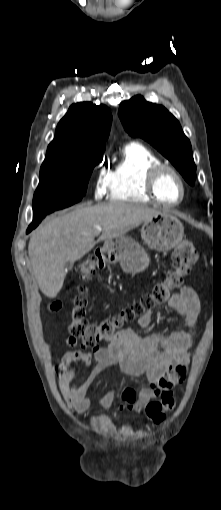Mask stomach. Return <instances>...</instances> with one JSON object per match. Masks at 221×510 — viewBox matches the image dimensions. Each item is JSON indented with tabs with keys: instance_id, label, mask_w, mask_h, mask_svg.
<instances>
[{
	"instance_id": "obj_1",
	"label": "stomach",
	"mask_w": 221,
	"mask_h": 510,
	"mask_svg": "<svg viewBox=\"0 0 221 510\" xmlns=\"http://www.w3.org/2000/svg\"><path fill=\"white\" fill-rule=\"evenodd\" d=\"M141 236L149 248L156 251H169L182 241L184 227L177 217L163 212L143 223ZM103 250L108 260L118 261L125 273L143 272L150 262L144 248L130 237L120 236L108 239L104 243Z\"/></svg>"
}]
</instances>
